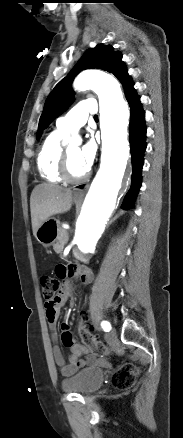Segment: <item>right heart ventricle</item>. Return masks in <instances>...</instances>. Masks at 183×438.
<instances>
[{"mask_svg":"<svg viewBox=\"0 0 183 438\" xmlns=\"http://www.w3.org/2000/svg\"><path fill=\"white\" fill-rule=\"evenodd\" d=\"M64 135L59 129L50 133L43 141L38 155L37 167L42 178L50 183H61L59 175V161L63 150L61 140Z\"/></svg>","mask_w":183,"mask_h":438,"instance_id":"right-heart-ventricle-1","label":"right heart ventricle"}]
</instances>
